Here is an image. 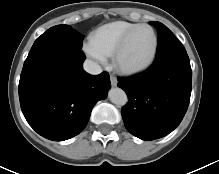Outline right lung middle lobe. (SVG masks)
Segmentation results:
<instances>
[{
    "mask_svg": "<svg viewBox=\"0 0 219 174\" xmlns=\"http://www.w3.org/2000/svg\"><path fill=\"white\" fill-rule=\"evenodd\" d=\"M82 40L83 35L69 25L51 27L36 39L25 61H29L42 51L56 46L81 49Z\"/></svg>",
    "mask_w": 219,
    "mask_h": 174,
    "instance_id": "dd1d6c3e",
    "label": "right lung middle lobe"
}]
</instances>
